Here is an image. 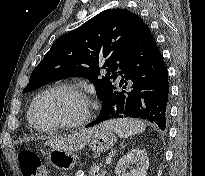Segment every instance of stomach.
Segmentation results:
<instances>
[{"label":"stomach","mask_w":205,"mask_h":176,"mask_svg":"<svg viewBox=\"0 0 205 176\" xmlns=\"http://www.w3.org/2000/svg\"><path fill=\"white\" fill-rule=\"evenodd\" d=\"M116 141L112 130L99 125L91 129L89 147L95 153H103L110 150ZM50 164L61 171L72 169L77 163V157L72 151L53 148L48 155Z\"/></svg>","instance_id":"1"}]
</instances>
